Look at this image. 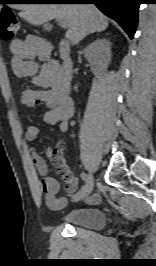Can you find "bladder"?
<instances>
[{
  "mask_svg": "<svg viewBox=\"0 0 156 266\" xmlns=\"http://www.w3.org/2000/svg\"><path fill=\"white\" fill-rule=\"evenodd\" d=\"M61 220L76 227L100 229L106 224L107 216L98 208L78 207L65 213Z\"/></svg>",
  "mask_w": 156,
  "mask_h": 266,
  "instance_id": "bladder-1",
  "label": "bladder"
}]
</instances>
